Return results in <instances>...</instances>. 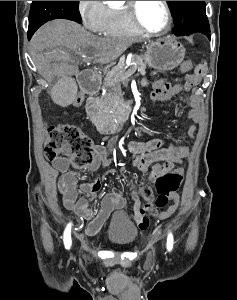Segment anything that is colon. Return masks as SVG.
Masks as SVG:
<instances>
[{
  "instance_id": "1",
  "label": "colon",
  "mask_w": 237,
  "mask_h": 300,
  "mask_svg": "<svg viewBox=\"0 0 237 300\" xmlns=\"http://www.w3.org/2000/svg\"><path fill=\"white\" fill-rule=\"evenodd\" d=\"M192 66V62L187 60L181 64L180 69L182 72H187ZM175 88L176 85L174 84H163L152 91L151 99L153 101L163 100ZM45 132L44 151L47 159L54 160L61 153L68 154L71 157L74 169L83 168L92 162L94 158L93 142L77 126L57 124L46 127ZM154 180L157 191L155 198L151 187L147 184L141 185L138 190L139 195L146 201L152 214H155L158 208L165 207L169 200H178L177 189L183 180V173L167 171L155 176Z\"/></svg>"
}]
</instances>
